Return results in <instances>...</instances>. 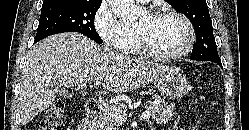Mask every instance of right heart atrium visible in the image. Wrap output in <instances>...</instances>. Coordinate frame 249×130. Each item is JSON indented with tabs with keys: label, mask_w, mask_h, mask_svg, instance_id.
I'll return each mask as SVG.
<instances>
[{
	"label": "right heart atrium",
	"mask_w": 249,
	"mask_h": 130,
	"mask_svg": "<svg viewBox=\"0 0 249 130\" xmlns=\"http://www.w3.org/2000/svg\"><path fill=\"white\" fill-rule=\"evenodd\" d=\"M93 25L106 45L124 53L131 51L135 32L117 16L106 2H102L97 8Z\"/></svg>",
	"instance_id": "1"
}]
</instances>
